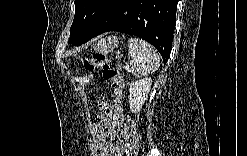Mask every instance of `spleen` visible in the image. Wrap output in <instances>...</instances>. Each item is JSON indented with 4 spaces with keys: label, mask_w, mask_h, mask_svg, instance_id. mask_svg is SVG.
<instances>
[{
    "label": "spleen",
    "mask_w": 247,
    "mask_h": 156,
    "mask_svg": "<svg viewBox=\"0 0 247 156\" xmlns=\"http://www.w3.org/2000/svg\"><path fill=\"white\" fill-rule=\"evenodd\" d=\"M129 65L134 76H144L156 71L160 66V57L156 50L145 40H128Z\"/></svg>",
    "instance_id": "obj_1"
}]
</instances>
